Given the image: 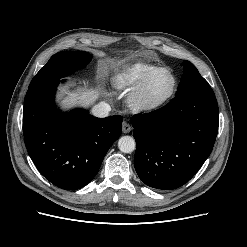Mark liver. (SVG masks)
I'll use <instances>...</instances> for the list:
<instances>
[{
  "label": "liver",
  "mask_w": 247,
  "mask_h": 247,
  "mask_svg": "<svg viewBox=\"0 0 247 247\" xmlns=\"http://www.w3.org/2000/svg\"><path fill=\"white\" fill-rule=\"evenodd\" d=\"M98 97V91L96 90H90L86 89L81 92L80 96L77 97V95L71 94L69 98H66L65 100L62 101L63 106L69 107L72 103L75 102L76 99H80V103L82 105H91L93 102L96 100Z\"/></svg>",
  "instance_id": "liver-1"
}]
</instances>
